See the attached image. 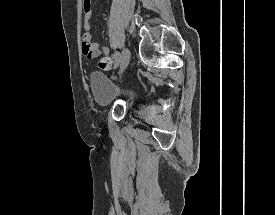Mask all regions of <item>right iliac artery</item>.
Instances as JSON below:
<instances>
[{"mask_svg": "<svg viewBox=\"0 0 275 215\" xmlns=\"http://www.w3.org/2000/svg\"><path fill=\"white\" fill-rule=\"evenodd\" d=\"M114 58H115V66H117L119 63V60H120V54L118 52H116L114 54Z\"/></svg>", "mask_w": 275, "mask_h": 215, "instance_id": "82829eb1", "label": "right iliac artery"}]
</instances>
